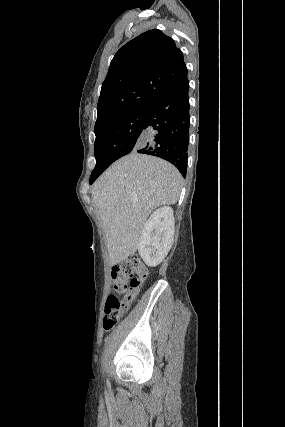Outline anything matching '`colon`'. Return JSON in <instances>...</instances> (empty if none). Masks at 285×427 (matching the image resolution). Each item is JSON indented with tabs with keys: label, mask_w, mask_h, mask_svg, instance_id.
Instances as JSON below:
<instances>
[{
	"label": "colon",
	"mask_w": 285,
	"mask_h": 427,
	"mask_svg": "<svg viewBox=\"0 0 285 427\" xmlns=\"http://www.w3.org/2000/svg\"><path fill=\"white\" fill-rule=\"evenodd\" d=\"M147 276V266L137 257L126 259L112 268L111 281L114 293L108 295L105 304L102 324L105 331H110L117 325Z\"/></svg>",
	"instance_id": "1"
}]
</instances>
